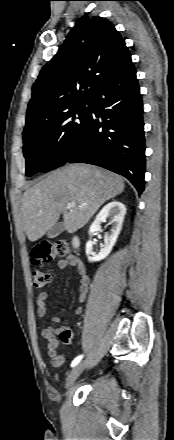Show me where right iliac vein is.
<instances>
[{"mask_svg":"<svg viewBox=\"0 0 174 440\" xmlns=\"http://www.w3.org/2000/svg\"><path fill=\"white\" fill-rule=\"evenodd\" d=\"M87 361H82L79 364H77L69 373L67 379H66V388H69L73 385V383L76 381V379L80 376L82 373Z\"/></svg>","mask_w":174,"mask_h":440,"instance_id":"1","label":"right iliac vein"}]
</instances>
